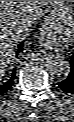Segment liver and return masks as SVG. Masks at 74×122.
<instances>
[{
    "mask_svg": "<svg viewBox=\"0 0 74 122\" xmlns=\"http://www.w3.org/2000/svg\"><path fill=\"white\" fill-rule=\"evenodd\" d=\"M63 1H0V72L6 68L20 39L34 26L43 12V7L55 8ZM30 22L23 32L20 27Z\"/></svg>",
    "mask_w": 74,
    "mask_h": 122,
    "instance_id": "1",
    "label": "liver"
}]
</instances>
